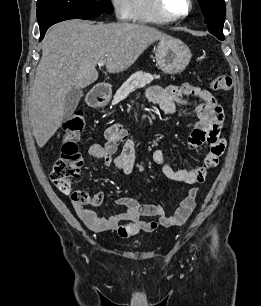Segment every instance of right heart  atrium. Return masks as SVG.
I'll use <instances>...</instances> for the list:
<instances>
[{
	"instance_id": "obj_1",
	"label": "right heart atrium",
	"mask_w": 261,
	"mask_h": 306,
	"mask_svg": "<svg viewBox=\"0 0 261 306\" xmlns=\"http://www.w3.org/2000/svg\"><path fill=\"white\" fill-rule=\"evenodd\" d=\"M129 1L130 0H110L113 13L118 20L124 21L129 19Z\"/></svg>"
}]
</instances>
